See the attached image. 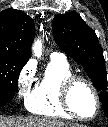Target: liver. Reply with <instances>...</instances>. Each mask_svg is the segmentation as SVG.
I'll use <instances>...</instances> for the list:
<instances>
[{
    "label": "liver",
    "mask_w": 108,
    "mask_h": 127,
    "mask_svg": "<svg viewBox=\"0 0 108 127\" xmlns=\"http://www.w3.org/2000/svg\"><path fill=\"white\" fill-rule=\"evenodd\" d=\"M0 127H83L78 124H67L52 118L13 117L0 118Z\"/></svg>",
    "instance_id": "1"
}]
</instances>
